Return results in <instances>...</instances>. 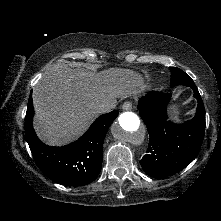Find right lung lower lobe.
<instances>
[{
  "label": "right lung lower lobe",
  "instance_id": "obj_1",
  "mask_svg": "<svg viewBox=\"0 0 221 221\" xmlns=\"http://www.w3.org/2000/svg\"><path fill=\"white\" fill-rule=\"evenodd\" d=\"M33 114L31 93L25 116V134L41 171L51 180L68 186H82L95 180L102 166L104 138L118 111L101 115L82 137L62 147L48 146L39 140L32 126Z\"/></svg>",
  "mask_w": 221,
  "mask_h": 221
}]
</instances>
